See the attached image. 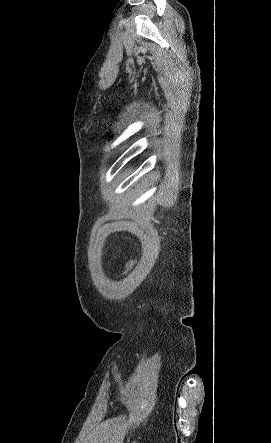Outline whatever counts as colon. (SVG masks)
Wrapping results in <instances>:
<instances>
[{
	"mask_svg": "<svg viewBox=\"0 0 271 443\" xmlns=\"http://www.w3.org/2000/svg\"><path fill=\"white\" fill-rule=\"evenodd\" d=\"M136 260H130L126 266V272L129 271L130 269H132V267L134 266Z\"/></svg>",
	"mask_w": 271,
	"mask_h": 443,
	"instance_id": "obj_1",
	"label": "colon"
}]
</instances>
